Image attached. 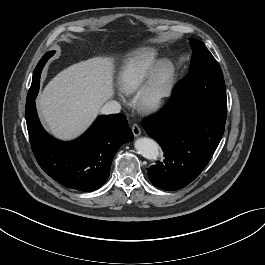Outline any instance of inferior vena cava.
<instances>
[{
	"instance_id": "602c4592",
	"label": "inferior vena cava",
	"mask_w": 265,
	"mask_h": 265,
	"mask_svg": "<svg viewBox=\"0 0 265 265\" xmlns=\"http://www.w3.org/2000/svg\"><path fill=\"white\" fill-rule=\"evenodd\" d=\"M121 110V105L117 101L107 102L101 109V113L104 115L117 114Z\"/></svg>"
}]
</instances>
